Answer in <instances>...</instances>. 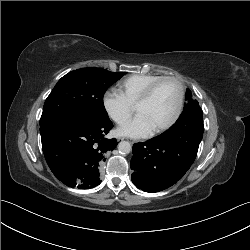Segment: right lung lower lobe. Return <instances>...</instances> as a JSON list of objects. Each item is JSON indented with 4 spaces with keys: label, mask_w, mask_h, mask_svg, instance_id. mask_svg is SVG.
Instances as JSON below:
<instances>
[{
    "label": "right lung lower lobe",
    "mask_w": 250,
    "mask_h": 250,
    "mask_svg": "<svg viewBox=\"0 0 250 250\" xmlns=\"http://www.w3.org/2000/svg\"><path fill=\"white\" fill-rule=\"evenodd\" d=\"M112 128L109 118H61L40 125L43 153L53 174L72 188L99 185L106 154L117 145L115 139L104 138Z\"/></svg>",
    "instance_id": "1"
}]
</instances>
